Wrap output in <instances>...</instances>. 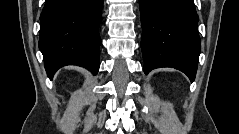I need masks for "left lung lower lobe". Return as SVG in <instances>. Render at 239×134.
Returning a JSON list of instances; mask_svg holds the SVG:
<instances>
[{
	"label": "left lung lower lobe",
	"instance_id": "0a47b994",
	"mask_svg": "<svg viewBox=\"0 0 239 134\" xmlns=\"http://www.w3.org/2000/svg\"><path fill=\"white\" fill-rule=\"evenodd\" d=\"M144 73L173 67L195 80L200 53L193 0H139Z\"/></svg>",
	"mask_w": 239,
	"mask_h": 134
}]
</instances>
